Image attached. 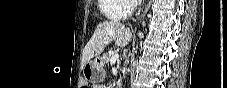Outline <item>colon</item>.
I'll return each instance as SVG.
<instances>
[{"label":"colon","mask_w":227,"mask_h":88,"mask_svg":"<svg viewBox=\"0 0 227 88\" xmlns=\"http://www.w3.org/2000/svg\"><path fill=\"white\" fill-rule=\"evenodd\" d=\"M83 87L88 88V86H87V85H85V86H83Z\"/></svg>","instance_id":"colon-1"}]
</instances>
